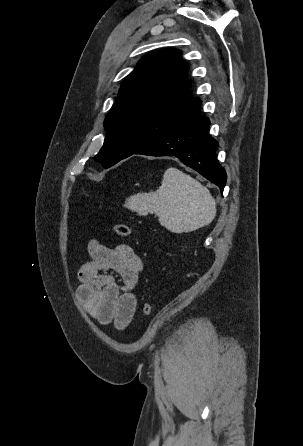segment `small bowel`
<instances>
[{
  "mask_svg": "<svg viewBox=\"0 0 303 446\" xmlns=\"http://www.w3.org/2000/svg\"><path fill=\"white\" fill-rule=\"evenodd\" d=\"M90 260L78 270L77 298L86 312L101 324L124 329L137 307L135 290L142 261L126 244L114 248L97 240L88 244Z\"/></svg>",
  "mask_w": 303,
  "mask_h": 446,
  "instance_id": "c3829d8e",
  "label": "small bowel"
}]
</instances>
